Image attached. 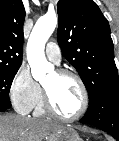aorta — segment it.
Returning <instances> with one entry per match:
<instances>
[{"mask_svg":"<svg viewBox=\"0 0 119 141\" xmlns=\"http://www.w3.org/2000/svg\"><path fill=\"white\" fill-rule=\"evenodd\" d=\"M57 26L56 15H44L36 22L27 43V59L35 80L42 81L53 66L45 57V44Z\"/></svg>","mask_w":119,"mask_h":141,"instance_id":"obj_1","label":"aorta"}]
</instances>
